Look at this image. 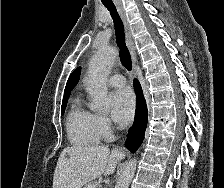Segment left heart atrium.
Wrapping results in <instances>:
<instances>
[{
	"mask_svg": "<svg viewBox=\"0 0 224 188\" xmlns=\"http://www.w3.org/2000/svg\"><path fill=\"white\" fill-rule=\"evenodd\" d=\"M111 114L116 123L125 126L131 123L134 116V97L127 88L114 91L110 97Z\"/></svg>",
	"mask_w": 224,
	"mask_h": 188,
	"instance_id": "39dd6f15",
	"label": "left heart atrium"
}]
</instances>
